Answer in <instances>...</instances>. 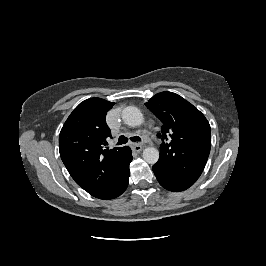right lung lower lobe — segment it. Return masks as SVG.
<instances>
[{
	"label": "right lung lower lobe",
	"mask_w": 266,
	"mask_h": 266,
	"mask_svg": "<svg viewBox=\"0 0 266 266\" xmlns=\"http://www.w3.org/2000/svg\"><path fill=\"white\" fill-rule=\"evenodd\" d=\"M132 161V154L131 149L129 148L126 160L123 164V167L119 171V173L116 176V180L112 186V188L103 195L100 199L108 200L113 199L121 195L127 188L128 182H129V164Z\"/></svg>",
	"instance_id": "1"
}]
</instances>
